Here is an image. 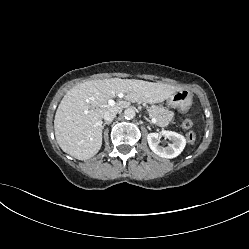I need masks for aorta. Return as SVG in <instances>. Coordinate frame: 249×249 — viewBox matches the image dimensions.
I'll use <instances>...</instances> for the list:
<instances>
[{"mask_svg":"<svg viewBox=\"0 0 249 249\" xmlns=\"http://www.w3.org/2000/svg\"><path fill=\"white\" fill-rule=\"evenodd\" d=\"M135 114V109L132 107H129L124 111V117L127 120L133 119L135 117Z\"/></svg>","mask_w":249,"mask_h":249,"instance_id":"aorta-1","label":"aorta"}]
</instances>
